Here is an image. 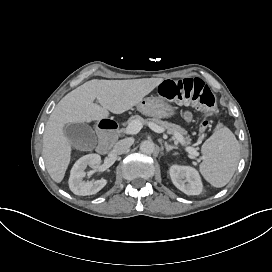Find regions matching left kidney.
I'll return each mask as SVG.
<instances>
[{
	"instance_id": "left-kidney-1",
	"label": "left kidney",
	"mask_w": 272,
	"mask_h": 272,
	"mask_svg": "<svg viewBox=\"0 0 272 272\" xmlns=\"http://www.w3.org/2000/svg\"><path fill=\"white\" fill-rule=\"evenodd\" d=\"M173 184L187 195H198L202 190V184L197 172L185 166H172L170 169Z\"/></svg>"
}]
</instances>
